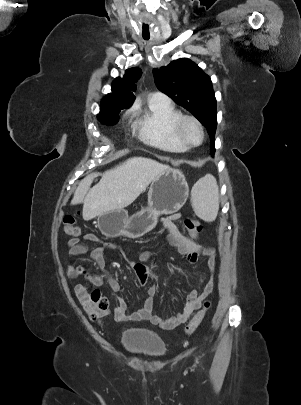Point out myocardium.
Masks as SVG:
<instances>
[{"label": "myocardium", "mask_w": 301, "mask_h": 405, "mask_svg": "<svg viewBox=\"0 0 301 405\" xmlns=\"http://www.w3.org/2000/svg\"><path fill=\"white\" fill-rule=\"evenodd\" d=\"M187 122H193L199 128L200 133H201V140H200L199 143L193 144V143L189 142L187 140V138L185 137V135H184V125ZM174 129H175V132H176L178 138L188 148L198 147L204 142L205 130H204L203 124L195 116H192V115H180L178 117V119L176 120V122H175Z\"/></svg>", "instance_id": "myocardium-1"}]
</instances>
